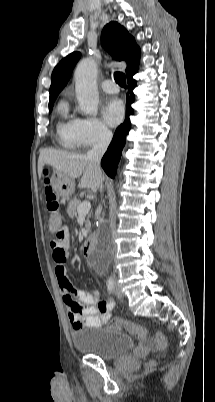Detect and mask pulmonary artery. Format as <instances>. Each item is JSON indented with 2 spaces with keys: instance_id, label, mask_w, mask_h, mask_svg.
<instances>
[{
  "instance_id": "pulmonary-artery-1",
  "label": "pulmonary artery",
  "mask_w": 215,
  "mask_h": 402,
  "mask_svg": "<svg viewBox=\"0 0 215 402\" xmlns=\"http://www.w3.org/2000/svg\"><path fill=\"white\" fill-rule=\"evenodd\" d=\"M101 88L103 89V91L109 94H117L119 92V87L117 86V84L110 79L102 81Z\"/></svg>"
}]
</instances>
